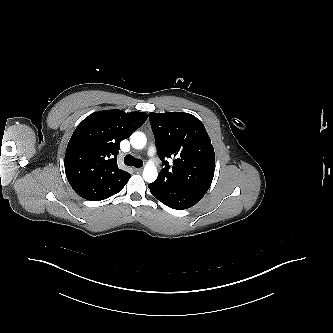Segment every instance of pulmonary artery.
<instances>
[{"label":"pulmonary artery","mask_w":333,"mask_h":333,"mask_svg":"<svg viewBox=\"0 0 333 333\" xmlns=\"http://www.w3.org/2000/svg\"><path fill=\"white\" fill-rule=\"evenodd\" d=\"M156 149L154 146H150L148 149V156L151 158L152 161H155L154 155H155Z\"/></svg>","instance_id":"e3ab8cb5"}]
</instances>
